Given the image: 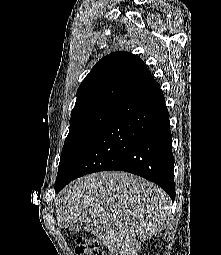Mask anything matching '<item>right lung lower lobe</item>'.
Returning a JSON list of instances; mask_svg holds the SVG:
<instances>
[{"instance_id":"right-lung-lower-lobe-1","label":"right lung lower lobe","mask_w":221,"mask_h":255,"mask_svg":"<svg viewBox=\"0 0 221 255\" xmlns=\"http://www.w3.org/2000/svg\"><path fill=\"white\" fill-rule=\"evenodd\" d=\"M171 141L165 98L155 82L116 109L65 177L56 182L55 191L80 176L118 170L158 184L174 201Z\"/></svg>"}]
</instances>
